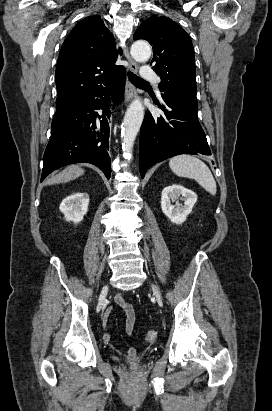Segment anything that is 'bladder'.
<instances>
[{"instance_id":"1","label":"bladder","mask_w":272,"mask_h":411,"mask_svg":"<svg viewBox=\"0 0 272 411\" xmlns=\"http://www.w3.org/2000/svg\"><path fill=\"white\" fill-rule=\"evenodd\" d=\"M142 358L143 357H136L134 359H126V358H121V357H115V359L118 362L125 363L127 365H136L142 360Z\"/></svg>"}]
</instances>
